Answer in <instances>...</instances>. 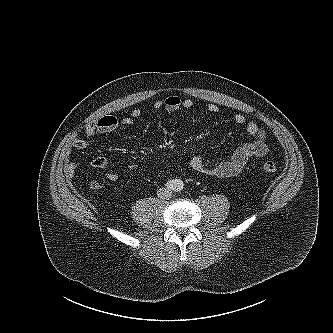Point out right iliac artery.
I'll return each instance as SVG.
<instances>
[{
    "mask_svg": "<svg viewBox=\"0 0 333 333\" xmlns=\"http://www.w3.org/2000/svg\"><path fill=\"white\" fill-rule=\"evenodd\" d=\"M166 187H167L168 189H174V187H175V182H174V181H169V182H167V183H166Z\"/></svg>",
    "mask_w": 333,
    "mask_h": 333,
    "instance_id": "obj_1",
    "label": "right iliac artery"
}]
</instances>
